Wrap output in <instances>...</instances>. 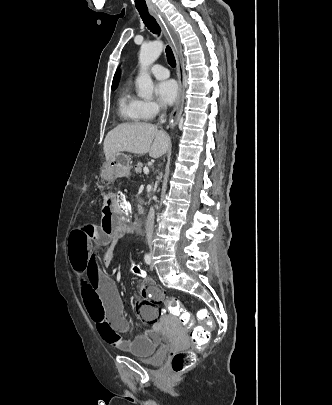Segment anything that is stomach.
<instances>
[{"instance_id": "1", "label": "stomach", "mask_w": 332, "mask_h": 405, "mask_svg": "<svg viewBox=\"0 0 332 405\" xmlns=\"http://www.w3.org/2000/svg\"><path fill=\"white\" fill-rule=\"evenodd\" d=\"M106 165L109 166L110 170L114 171V175L124 176L130 172L131 158L126 154L116 153Z\"/></svg>"}]
</instances>
